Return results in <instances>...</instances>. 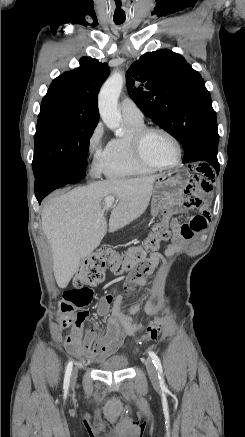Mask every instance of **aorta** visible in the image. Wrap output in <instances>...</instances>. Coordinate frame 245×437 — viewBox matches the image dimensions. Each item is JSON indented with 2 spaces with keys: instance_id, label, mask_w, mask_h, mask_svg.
I'll use <instances>...</instances> for the list:
<instances>
[{
  "instance_id": "obj_1",
  "label": "aorta",
  "mask_w": 245,
  "mask_h": 437,
  "mask_svg": "<svg viewBox=\"0 0 245 437\" xmlns=\"http://www.w3.org/2000/svg\"><path fill=\"white\" fill-rule=\"evenodd\" d=\"M124 78L120 73L112 74L102 86L98 107L100 116L106 126L115 131L117 136H122L120 129L121 113L118 109V98L123 87Z\"/></svg>"
}]
</instances>
